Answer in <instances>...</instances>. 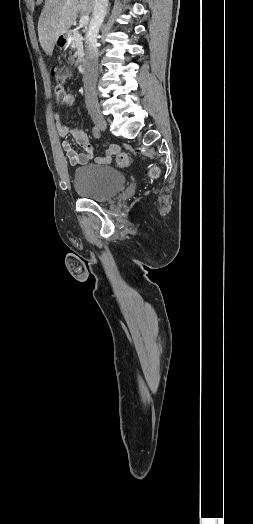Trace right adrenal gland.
I'll return each instance as SVG.
<instances>
[{
	"label": "right adrenal gland",
	"mask_w": 253,
	"mask_h": 524,
	"mask_svg": "<svg viewBox=\"0 0 253 524\" xmlns=\"http://www.w3.org/2000/svg\"><path fill=\"white\" fill-rule=\"evenodd\" d=\"M108 13H109V8H108V10H107V14H108Z\"/></svg>",
	"instance_id": "obj_1"
}]
</instances>
